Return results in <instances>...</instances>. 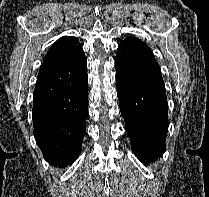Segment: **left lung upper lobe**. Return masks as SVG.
Masks as SVG:
<instances>
[{"label": "left lung upper lobe", "mask_w": 209, "mask_h": 197, "mask_svg": "<svg viewBox=\"0 0 209 197\" xmlns=\"http://www.w3.org/2000/svg\"><path fill=\"white\" fill-rule=\"evenodd\" d=\"M129 39H137V38H135V37H127L125 40H129ZM137 40H139V39H137Z\"/></svg>", "instance_id": "left-lung-upper-lobe-1"}]
</instances>
